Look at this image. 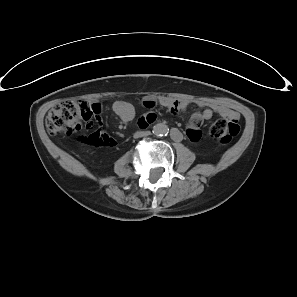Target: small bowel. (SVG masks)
Returning a JSON list of instances; mask_svg holds the SVG:
<instances>
[{
  "label": "small bowel",
  "mask_w": 297,
  "mask_h": 297,
  "mask_svg": "<svg viewBox=\"0 0 297 297\" xmlns=\"http://www.w3.org/2000/svg\"><path fill=\"white\" fill-rule=\"evenodd\" d=\"M144 106L151 110L155 107L156 103L152 99H146L143 102ZM160 104L163 107L168 108L172 113L179 111H184L188 106V101L177 100L172 98H162ZM197 104L203 108L201 112H196L191 116V120L186 131L187 136L192 141H198L201 137V131L199 130V125L206 120L212 118L214 113H218L224 117L232 118L236 117V113L223 106H209L205 102H197ZM114 112L121 118L123 122H129L135 117V109L133 105L126 101H117L113 104ZM156 119V115L153 112H149L141 117L140 125L146 127Z\"/></svg>",
  "instance_id": "c3829d8e"
}]
</instances>
